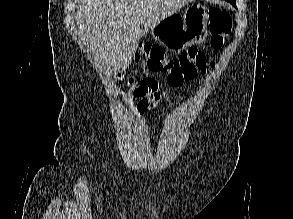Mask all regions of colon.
Instances as JSON below:
<instances>
[{
    "mask_svg": "<svg viewBox=\"0 0 293 219\" xmlns=\"http://www.w3.org/2000/svg\"><path fill=\"white\" fill-rule=\"evenodd\" d=\"M208 18L211 45L214 49H220L224 44L225 37L231 32L230 15L220 7H212L208 11ZM137 59L145 61L149 69L165 73L167 83L173 87L180 86L199 73L204 74L208 66L215 67V63H209L204 53L196 47H191L174 57H169L162 47L145 44L140 48ZM128 84L133 85L134 80L129 79Z\"/></svg>",
    "mask_w": 293,
    "mask_h": 219,
    "instance_id": "5ec220e1",
    "label": "colon"
}]
</instances>
